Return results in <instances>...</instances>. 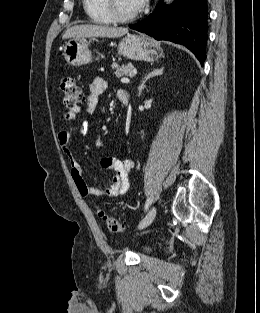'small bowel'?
Listing matches in <instances>:
<instances>
[{
	"label": "small bowel",
	"mask_w": 260,
	"mask_h": 313,
	"mask_svg": "<svg viewBox=\"0 0 260 313\" xmlns=\"http://www.w3.org/2000/svg\"><path fill=\"white\" fill-rule=\"evenodd\" d=\"M106 89V82L102 78H96L90 84V94L87 99V112L93 113L98 106L99 96ZM119 99L125 97L129 100V95L125 90L119 91ZM79 113V108H74L64 114V120L71 122L75 120L76 115ZM89 127V122H84L79 133L84 134ZM72 132L69 130H62L58 133V143L64 152L71 170V176L75 187L79 194L83 197H119L123 195L128 187L130 180V173L133 168V162L128 159H120L115 155H108L101 159V166L105 169H111L114 172L112 183L106 189H100L95 186L89 185L82 173L80 163L74 156L71 149Z\"/></svg>",
	"instance_id": "small-bowel-1"
}]
</instances>
